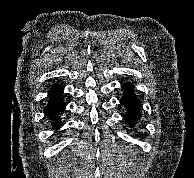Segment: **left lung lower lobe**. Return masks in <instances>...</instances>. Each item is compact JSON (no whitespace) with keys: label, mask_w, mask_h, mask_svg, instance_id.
<instances>
[{"label":"left lung lower lobe","mask_w":194,"mask_h":178,"mask_svg":"<svg viewBox=\"0 0 194 178\" xmlns=\"http://www.w3.org/2000/svg\"><path fill=\"white\" fill-rule=\"evenodd\" d=\"M122 89L124 95L120 99V103L123 104L127 110L124 115V120L128 123L129 127L136 129L138 122L142 116L141 114V102L134 92V86L130 82H126Z\"/></svg>","instance_id":"obj_1"}]
</instances>
